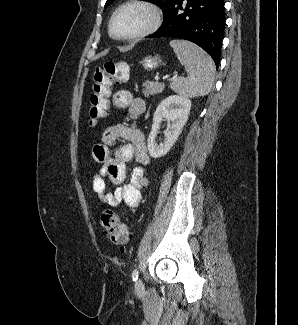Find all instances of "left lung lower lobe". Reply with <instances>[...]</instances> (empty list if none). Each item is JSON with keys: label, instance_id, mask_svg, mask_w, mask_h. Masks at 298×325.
<instances>
[{"label": "left lung lower lobe", "instance_id": "left-lung-lower-lobe-1", "mask_svg": "<svg viewBox=\"0 0 298 325\" xmlns=\"http://www.w3.org/2000/svg\"><path fill=\"white\" fill-rule=\"evenodd\" d=\"M172 0L163 25L149 38L186 39L203 48L218 68L224 37V0Z\"/></svg>", "mask_w": 298, "mask_h": 325}]
</instances>
